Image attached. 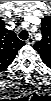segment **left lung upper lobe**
Returning a JSON list of instances; mask_svg holds the SVG:
<instances>
[{
  "label": "left lung upper lobe",
  "mask_w": 51,
  "mask_h": 101,
  "mask_svg": "<svg viewBox=\"0 0 51 101\" xmlns=\"http://www.w3.org/2000/svg\"><path fill=\"white\" fill-rule=\"evenodd\" d=\"M42 24V39L36 42L33 46L41 56L42 61L47 65L51 66V17L45 16L41 19Z\"/></svg>",
  "instance_id": "left-lung-upper-lobe-1"
}]
</instances>
